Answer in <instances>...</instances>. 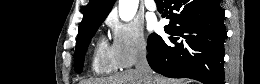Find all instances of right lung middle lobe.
I'll use <instances>...</instances> for the list:
<instances>
[{
	"instance_id": "right-lung-middle-lobe-1",
	"label": "right lung middle lobe",
	"mask_w": 260,
	"mask_h": 84,
	"mask_svg": "<svg viewBox=\"0 0 260 84\" xmlns=\"http://www.w3.org/2000/svg\"><path fill=\"white\" fill-rule=\"evenodd\" d=\"M103 21L104 20L93 23L86 30H84L81 34L77 36L76 50L74 55V66L76 72H82L84 55L86 53L87 47L90 43L91 38L94 36L98 27L101 25Z\"/></svg>"
}]
</instances>
